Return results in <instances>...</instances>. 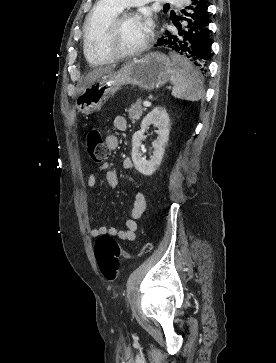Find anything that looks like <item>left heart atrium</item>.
I'll use <instances>...</instances> for the list:
<instances>
[{"label": "left heart atrium", "instance_id": "left-heart-atrium-1", "mask_svg": "<svg viewBox=\"0 0 276 363\" xmlns=\"http://www.w3.org/2000/svg\"><path fill=\"white\" fill-rule=\"evenodd\" d=\"M144 30L149 33L152 29V20L148 15H143L142 17H140Z\"/></svg>", "mask_w": 276, "mask_h": 363}]
</instances>
